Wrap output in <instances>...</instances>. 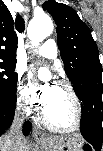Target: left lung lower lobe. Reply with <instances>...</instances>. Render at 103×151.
Instances as JSON below:
<instances>
[{
	"label": "left lung lower lobe",
	"instance_id": "left-lung-lower-lobe-1",
	"mask_svg": "<svg viewBox=\"0 0 103 151\" xmlns=\"http://www.w3.org/2000/svg\"><path fill=\"white\" fill-rule=\"evenodd\" d=\"M74 90L82 101L80 122L82 136L96 151H101L103 138L102 70L89 71L85 78L77 83Z\"/></svg>",
	"mask_w": 103,
	"mask_h": 151
}]
</instances>
